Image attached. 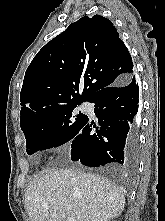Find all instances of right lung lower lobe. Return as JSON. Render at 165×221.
Instances as JSON below:
<instances>
[{"mask_svg": "<svg viewBox=\"0 0 165 221\" xmlns=\"http://www.w3.org/2000/svg\"><path fill=\"white\" fill-rule=\"evenodd\" d=\"M138 95L134 75L96 92L88 102L95 103L99 124H89L88 118L75 135L71 145L72 161L90 167L120 164L128 170L134 169L139 157Z\"/></svg>", "mask_w": 165, "mask_h": 221, "instance_id": "obj_1", "label": "right lung lower lobe"}]
</instances>
